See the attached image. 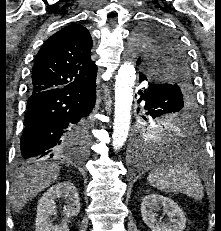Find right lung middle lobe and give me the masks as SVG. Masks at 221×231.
Returning <instances> with one entry per match:
<instances>
[{"instance_id": "1", "label": "right lung middle lobe", "mask_w": 221, "mask_h": 231, "mask_svg": "<svg viewBox=\"0 0 221 231\" xmlns=\"http://www.w3.org/2000/svg\"><path fill=\"white\" fill-rule=\"evenodd\" d=\"M90 125H91V121L88 120L80 123L74 128L75 132L78 135L82 137L84 136L86 138L87 143H89V138H90Z\"/></svg>"}]
</instances>
